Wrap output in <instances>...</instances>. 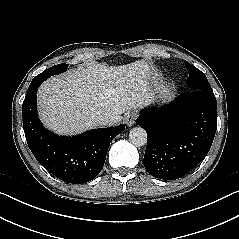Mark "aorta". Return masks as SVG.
Listing matches in <instances>:
<instances>
[{
    "instance_id": "obj_1",
    "label": "aorta",
    "mask_w": 239,
    "mask_h": 239,
    "mask_svg": "<svg viewBox=\"0 0 239 239\" xmlns=\"http://www.w3.org/2000/svg\"><path fill=\"white\" fill-rule=\"evenodd\" d=\"M129 140L134 146H144L147 143V133L141 127H134L129 132Z\"/></svg>"
}]
</instances>
